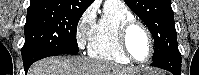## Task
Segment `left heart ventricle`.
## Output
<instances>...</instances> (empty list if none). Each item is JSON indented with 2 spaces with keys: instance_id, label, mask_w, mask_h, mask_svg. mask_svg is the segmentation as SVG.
<instances>
[{
  "instance_id": "b2bd125f",
  "label": "left heart ventricle",
  "mask_w": 199,
  "mask_h": 75,
  "mask_svg": "<svg viewBox=\"0 0 199 75\" xmlns=\"http://www.w3.org/2000/svg\"><path fill=\"white\" fill-rule=\"evenodd\" d=\"M128 48L135 59L142 61L147 58L150 45L145 32L140 27H134L130 30Z\"/></svg>"
}]
</instances>
